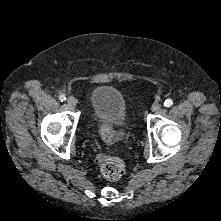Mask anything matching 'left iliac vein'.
<instances>
[{
  "mask_svg": "<svg viewBox=\"0 0 221 221\" xmlns=\"http://www.w3.org/2000/svg\"><path fill=\"white\" fill-rule=\"evenodd\" d=\"M162 105L160 103H154L152 105V111L156 112V111H159L161 109Z\"/></svg>",
  "mask_w": 221,
  "mask_h": 221,
  "instance_id": "obj_1",
  "label": "left iliac vein"
}]
</instances>
